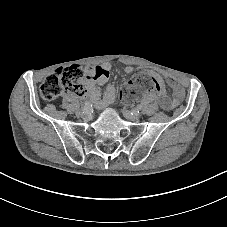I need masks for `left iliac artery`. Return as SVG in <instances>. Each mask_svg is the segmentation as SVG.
<instances>
[{
	"instance_id": "44dca946",
	"label": "left iliac artery",
	"mask_w": 227,
	"mask_h": 227,
	"mask_svg": "<svg viewBox=\"0 0 227 227\" xmlns=\"http://www.w3.org/2000/svg\"><path fill=\"white\" fill-rule=\"evenodd\" d=\"M142 109V106L141 105H138L137 106V108H136V111H138V113H139V111Z\"/></svg>"
}]
</instances>
